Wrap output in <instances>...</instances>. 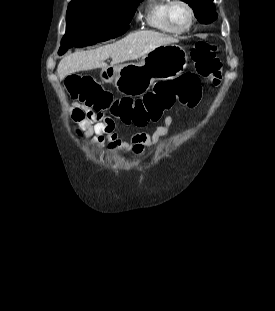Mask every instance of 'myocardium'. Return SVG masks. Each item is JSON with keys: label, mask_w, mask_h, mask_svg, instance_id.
<instances>
[{"label": "myocardium", "mask_w": 275, "mask_h": 311, "mask_svg": "<svg viewBox=\"0 0 275 311\" xmlns=\"http://www.w3.org/2000/svg\"><path fill=\"white\" fill-rule=\"evenodd\" d=\"M176 4H182L184 7H186V9L189 12V21H188L186 26L181 27V28L175 26L173 21H172V18H171V9ZM165 14H166V19H167V22L169 23V25L179 33L187 31L192 26L194 19H195V13H194L192 6L185 0H170L168 6L166 8Z\"/></svg>", "instance_id": "obj_1"}]
</instances>
